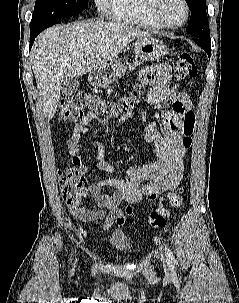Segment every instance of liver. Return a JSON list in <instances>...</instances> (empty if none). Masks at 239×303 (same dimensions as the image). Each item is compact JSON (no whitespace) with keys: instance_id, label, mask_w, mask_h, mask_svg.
<instances>
[{"instance_id":"1","label":"liver","mask_w":239,"mask_h":303,"mask_svg":"<svg viewBox=\"0 0 239 303\" xmlns=\"http://www.w3.org/2000/svg\"><path fill=\"white\" fill-rule=\"evenodd\" d=\"M145 36L149 33L107 21L75 22L43 31L34 42L30 58L48 118L56 113L65 79L77 78L113 61L130 42ZM86 51L91 53L84 55Z\"/></svg>"}]
</instances>
